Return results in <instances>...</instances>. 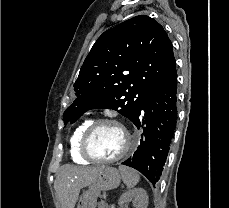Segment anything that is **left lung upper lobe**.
<instances>
[{
	"label": "left lung upper lobe",
	"mask_w": 229,
	"mask_h": 208,
	"mask_svg": "<svg viewBox=\"0 0 229 208\" xmlns=\"http://www.w3.org/2000/svg\"><path fill=\"white\" fill-rule=\"evenodd\" d=\"M176 74L172 43L162 25L146 15L133 17L94 43L74 84L77 99L64 112V123H74L93 108L114 109L132 121L148 93Z\"/></svg>",
	"instance_id": "5c2ea615"
}]
</instances>
